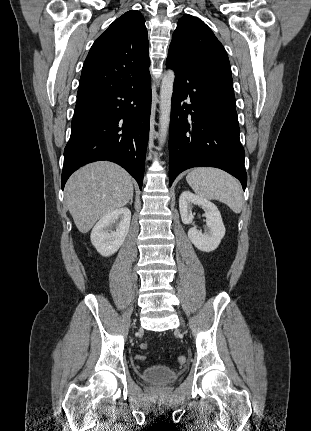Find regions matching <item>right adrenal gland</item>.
I'll use <instances>...</instances> for the list:
<instances>
[{
	"label": "right adrenal gland",
	"instance_id": "right-adrenal-gland-1",
	"mask_svg": "<svg viewBox=\"0 0 311 431\" xmlns=\"http://www.w3.org/2000/svg\"><path fill=\"white\" fill-rule=\"evenodd\" d=\"M130 206L133 204V198H131V202H129Z\"/></svg>",
	"mask_w": 311,
	"mask_h": 431
}]
</instances>
